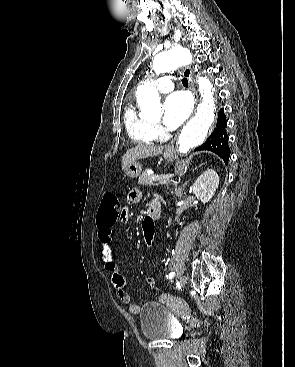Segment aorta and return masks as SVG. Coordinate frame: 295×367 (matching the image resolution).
I'll return each mask as SVG.
<instances>
[{"mask_svg": "<svg viewBox=\"0 0 295 367\" xmlns=\"http://www.w3.org/2000/svg\"><path fill=\"white\" fill-rule=\"evenodd\" d=\"M191 61L190 52L182 47L159 53L153 60L156 74L170 72ZM202 102L197 107L196 115L183 127L178 138V150L187 152L204 142L215 120L216 103L214 88L206 77L198 79ZM137 103L143 118L160 117L162 108L157 90L149 84L142 85L137 91Z\"/></svg>", "mask_w": 295, "mask_h": 367, "instance_id": "1", "label": "aorta"}]
</instances>
